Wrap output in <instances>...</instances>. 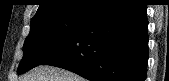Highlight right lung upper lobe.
Returning a JSON list of instances; mask_svg holds the SVG:
<instances>
[{
    "instance_id": "right-lung-upper-lobe-1",
    "label": "right lung upper lobe",
    "mask_w": 169,
    "mask_h": 81,
    "mask_svg": "<svg viewBox=\"0 0 169 81\" xmlns=\"http://www.w3.org/2000/svg\"><path fill=\"white\" fill-rule=\"evenodd\" d=\"M40 6L31 21L45 17L72 15L91 18L108 9L119 0H40Z\"/></svg>"
}]
</instances>
